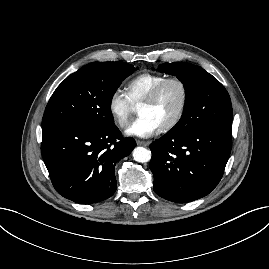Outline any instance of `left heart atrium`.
I'll return each instance as SVG.
<instances>
[{"label":"left heart atrium","instance_id":"1","mask_svg":"<svg viewBox=\"0 0 269 269\" xmlns=\"http://www.w3.org/2000/svg\"><path fill=\"white\" fill-rule=\"evenodd\" d=\"M160 125L150 116L141 115L126 129L128 136L148 138L160 130Z\"/></svg>","mask_w":269,"mask_h":269}]
</instances>
